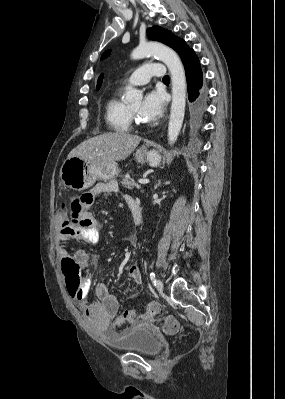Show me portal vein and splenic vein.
<instances>
[{
	"label": "portal vein and splenic vein",
	"instance_id": "obj_1",
	"mask_svg": "<svg viewBox=\"0 0 285 399\" xmlns=\"http://www.w3.org/2000/svg\"><path fill=\"white\" fill-rule=\"evenodd\" d=\"M138 182H139L140 184H148V183H149V180H148V179H140Z\"/></svg>",
	"mask_w": 285,
	"mask_h": 399
}]
</instances>
